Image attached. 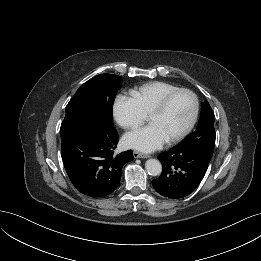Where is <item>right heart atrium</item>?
I'll return each instance as SVG.
<instances>
[{
	"label": "right heart atrium",
	"instance_id": "right-heart-atrium-1",
	"mask_svg": "<svg viewBox=\"0 0 261 261\" xmlns=\"http://www.w3.org/2000/svg\"><path fill=\"white\" fill-rule=\"evenodd\" d=\"M113 116L119 126L124 129H134L145 119L134 96L119 95L113 105Z\"/></svg>",
	"mask_w": 261,
	"mask_h": 261
}]
</instances>
